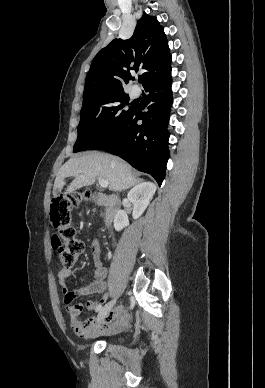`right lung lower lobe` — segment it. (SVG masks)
I'll list each match as a JSON object with an SVG mask.
<instances>
[{
	"label": "right lung lower lobe",
	"instance_id": "98d812e1",
	"mask_svg": "<svg viewBox=\"0 0 265 388\" xmlns=\"http://www.w3.org/2000/svg\"><path fill=\"white\" fill-rule=\"evenodd\" d=\"M145 89L149 92L148 111L143 112V108L135 106L128 121L103 150L120 156L139 171L151 174L161 185L169 158L167 126L173 102L171 72L150 82Z\"/></svg>",
	"mask_w": 265,
	"mask_h": 388
}]
</instances>
